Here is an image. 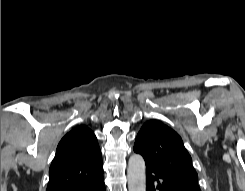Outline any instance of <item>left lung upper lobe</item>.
Listing matches in <instances>:
<instances>
[{"label": "left lung upper lobe", "instance_id": "left-lung-upper-lobe-1", "mask_svg": "<svg viewBox=\"0 0 245 191\" xmlns=\"http://www.w3.org/2000/svg\"><path fill=\"white\" fill-rule=\"evenodd\" d=\"M134 151L143 156L146 165L190 186H199L190 154L179 134L167 125L156 120L147 121L136 137Z\"/></svg>", "mask_w": 245, "mask_h": 191}]
</instances>
